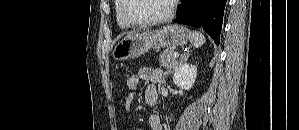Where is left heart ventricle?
I'll return each instance as SVG.
<instances>
[{"mask_svg": "<svg viewBox=\"0 0 299 130\" xmlns=\"http://www.w3.org/2000/svg\"><path fill=\"white\" fill-rule=\"evenodd\" d=\"M169 0H130L128 14L136 20H148L165 14Z\"/></svg>", "mask_w": 299, "mask_h": 130, "instance_id": "obj_1", "label": "left heart ventricle"}]
</instances>
